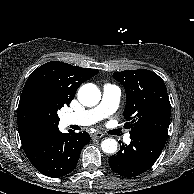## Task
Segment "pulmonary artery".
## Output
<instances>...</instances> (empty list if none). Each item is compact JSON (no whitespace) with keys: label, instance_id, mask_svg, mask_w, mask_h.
<instances>
[{"label":"pulmonary artery","instance_id":"obj_1","mask_svg":"<svg viewBox=\"0 0 194 194\" xmlns=\"http://www.w3.org/2000/svg\"><path fill=\"white\" fill-rule=\"evenodd\" d=\"M120 90L118 87L107 84L103 87L101 102L94 108L80 112H70L64 115V122L67 125L76 124L81 126L92 125L108 117L118 107ZM130 136L126 135L124 141L130 142Z\"/></svg>","mask_w":194,"mask_h":194}]
</instances>
